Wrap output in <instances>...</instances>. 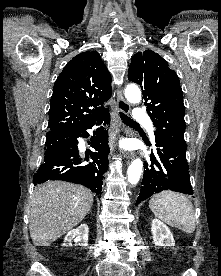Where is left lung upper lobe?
<instances>
[{
    "label": "left lung upper lobe",
    "instance_id": "left-lung-upper-lobe-1",
    "mask_svg": "<svg viewBox=\"0 0 221 276\" xmlns=\"http://www.w3.org/2000/svg\"><path fill=\"white\" fill-rule=\"evenodd\" d=\"M128 79L143 90L147 113L156 128L155 136L186 147L183 92L175 71L157 53L146 50L133 56Z\"/></svg>",
    "mask_w": 221,
    "mask_h": 276
}]
</instances>
